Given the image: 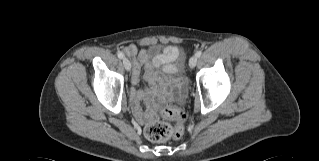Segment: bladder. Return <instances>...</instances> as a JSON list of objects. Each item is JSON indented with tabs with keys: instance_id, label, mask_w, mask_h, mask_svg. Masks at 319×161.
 <instances>
[{
	"instance_id": "1",
	"label": "bladder",
	"mask_w": 319,
	"mask_h": 161,
	"mask_svg": "<svg viewBox=\"0 0 319 161\" xmlns=\"http://www.w3.org/2000/svg\"><path fill=\"white\" fill-rule=\"evenodd\" d=\"M163 50V47L153 45L147 48L145 51L147 59L152 60L154 59L159 53H161ZM173 51V59L170 63V67L167 71V75L170 78H177L180 77L185 70L186 67V61L188 58V54L186 50L182 47H172ZM159 70V68H157Z\"/></svg>"
}]
</instances>
